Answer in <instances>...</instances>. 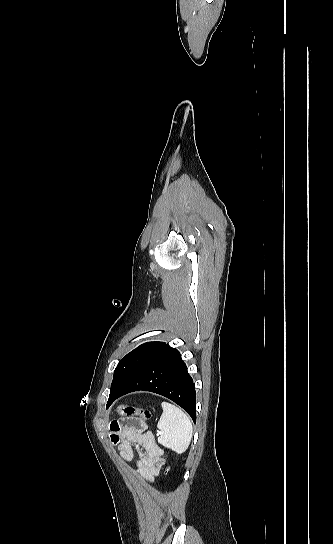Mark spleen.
Wrapping results in <instances>:
<instances>
[{
  "mask_svg": "<svg viewBox=\"0 0 333 544\" xmlns=\"http://www.w3.org/2000/svg\"><path fill=\"white\" fill-rule=\"evenodd\" d=\"M163 413L157 428L162 432L158 442L177 452H184L190 444L193 427L189 417L178 407L162 402Z\"/></svg>",
  "mask_w": 333,
  "mask_h": 544,
  "instance_id": "1",
  "label": "spleen"
}]
</instances>
